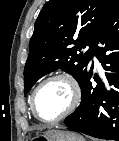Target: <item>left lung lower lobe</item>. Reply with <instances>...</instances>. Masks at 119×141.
I'll use <instances>...</instances> for the list:
<instances>
[{
	"label": "left lung lower lobe",
	"mask_w": 119,
	"mask_h": 141,
	"mask_svg": "<svg viewBox=\"0 0 119 141\" xmlns=\"http://www.w3.org/2000/svg\"><path fill=\"white\" fill-rule=\"evenodd\" d=\"M92 55L105 70L104 80L92 86V64L80 85V106L64 123L95 138L119 141V9L97 34Z\"/></svg>",
	"instance_id": "left-lung-lower-lobe-1"
}]
</instances>
